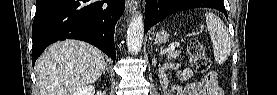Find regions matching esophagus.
Returning <instances> with one entry per match:
<instances>
[{
  "label": "esophagus",
  "instance_id": "obj_1",
  "mask_svg": "<svg viewBox=\"0 0 277 95\" xmlns=\"http://www.w3.org/2000/svg\"><path fill=\"white\" fill-rule=\"evenodd\" d=\"M125 6L127 10L134 12L139 6V2L137 0H126Z\"/></svg>",
  "mask_w": 277,
  "mask_h": 95
}]
</instances>
